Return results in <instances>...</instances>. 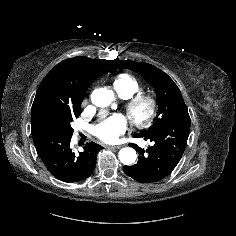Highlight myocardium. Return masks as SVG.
<instances>
[{
    "label": "myocardium",
    "instance_id": "obj_1",
    "mask_svg": "<svg viewBox=\"0 0 236 236\" xmlns=\"http://www.w3.org/2000/svg\"><path fill=\"white\" fill-rule=\"evenodd\" d=\"M140 107L145 109L142 114H138ZM125 110L134 126L144 127L155 118L158 111V101L151 94L139 93L128 98Z\"/></svg>",
    "mask_w": 236,
    "mask_h": 236
}]
</instances>
